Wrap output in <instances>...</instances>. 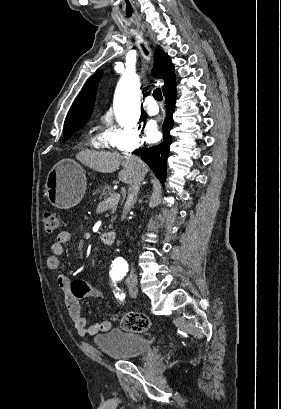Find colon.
I'll use <instances>...</instances> for the list:
<instances>
[{
	"mask_svg": "<svg viewBox=\"0 0 281 409\" xmlns=\"http://www.w3.org/2000/svg\"><path fill=\"white\" fill-rule=\"evenodd\" d=\"M42 221L48 233H55L60 230L58 217L51 208L42 209ZM119 323L122 329L130 331H144L149 326V321L144 315L133 312L120 317Z\"/></svg>",
	"mask_w": 281,
	"mask_h": 409,
	"instance_id": "1",
	"label": "colon"
}]
</instances>
